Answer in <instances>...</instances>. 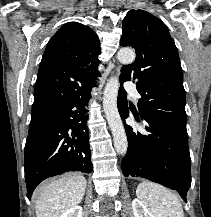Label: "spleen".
Here are the masks:
<instances>
[{"instance_id": "spleen-1", "label": "spleen", "mask_w": 211, "mask_h": 217, "mask_svg": "<svg viewBox=\"0 0 211 217\" xmlns=\"http://www.w3.org/2000/svg\"><path fill=\"white\" fill-rule=\"evenodd\" d=\"M136 195L154 217H184L179 198L160 184L142 182Z\"/></svg>"}]
</instances>
